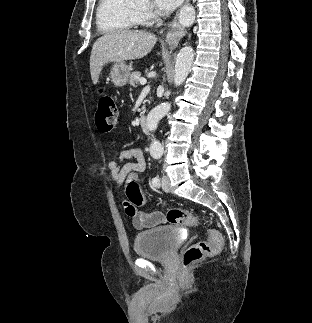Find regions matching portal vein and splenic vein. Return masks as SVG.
<instances>
[{
  "instance_id": "portal-vein-and-splenic-vein-1",
  "label": "portal vein and splenic vein",
  "mask_w": 312,
  "mask_h": 323,
  "mask_svg": "<svg viewBox=\"0 0 312 323\" xmlns=\"http://www.w3.org/2000/svg\"><path fill=\"white\" fill-rule=\"evenodd\" d=\"M147 80H145V78H141L140 80V84H142V86H144V84H146Z\"/></svg>"
}]
</instances>
